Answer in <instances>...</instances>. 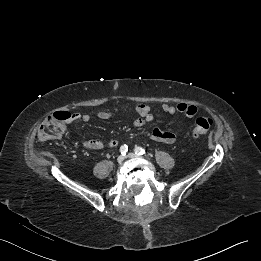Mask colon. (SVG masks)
I'll list each match as a JSON object with an SVG mask.
<instances>
[{
	"label": "colon",
	"instance_id": "colon-1",
	"mask_svg": "<svg viewBox=\"0 0 261 261\" xmlns=\"http://www.w3.org/2000/svg\"><path fill=\"white\" fill-rule=\"evenodd\" d=\"M72 114L66 111H57L48 115L43 121L38 133L41 141H49L60 137L63 127L71 121ZM212 120L207 116H200L196 119L195 128L192 131V138H198L205 134L212 127Z\"/></svg>",
	"mask_w": 261,
	"mask_h": 261
}]
</instances>
